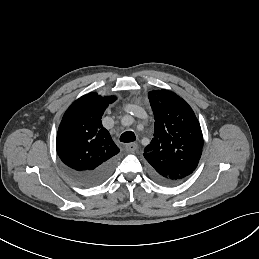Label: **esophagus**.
<instances>
[{
  "label": "esophagus",
  "mask_w": 259,
  "mask_h": 259,
  "mask_svg": "<svg viewBox=\"0 0 259 259\" xmlns=\"http://www.w3.org/2000/svg\"><path fill=\"white\" fill-rule=\"evenodd\" d=\"M126 151L135 152L138 149V145L136 143H129L125 146Z\"/></svg>",
  "instance_id": "34e87169"
}]
</instances>
